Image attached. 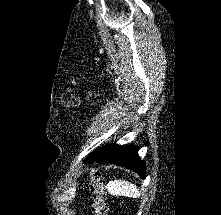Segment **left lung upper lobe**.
Listing matches in <instances>:
<instances>
[{
    "mask_svg": "<svg viewBox=\"0 0 221 215\" xmlns=\"http://www.w3.org/2000/svg\"><path fill=\"white\" fill-rule=\"evenodd\" d=\"M106 147H107V146H105V147H103V148H100L99 150L94 151L90 156H88V157L85 159L84 162H85V163H91V162H93L96 158L102 156V155L105 153V151H106Z\"/></svg>",
    "mask_w": 221,
    "mask_h": 215,
    "instance_id": "left-lung-upper-lobe-1",
    "label": "left lung upper lobe"
}]
</instances>
